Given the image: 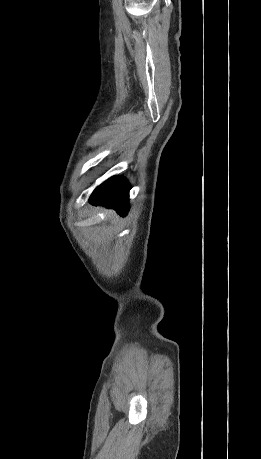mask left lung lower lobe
<instances>
[{"instance_id":"obj_1","label":"left lung lower lobe","mask_w":261,"mask_h":459,"mask_svg":"<svg viewBox=\"0 0 261 459\" xmlns=\"http://www.w3.org/2000/svg\"><path fill=\"white\" fill-rule=\"evenodd\" d=\"M129 185L121 177H112L98 186L90 197L94 205H103L117 210L121 215H126L129 206Z\"/></svg>"}]
</instances>
